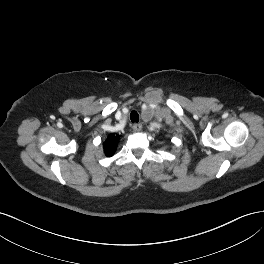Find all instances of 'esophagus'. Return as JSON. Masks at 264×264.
<instances>
[{
    "label": "esophagus",
    "instance_id": "obj_1",
    "mask_svg": "<svg viewBox=\"0 0 264 264\" xmlns=\"http://www.w3.org/2000/svg\"><path fill=\"white\" fill-rule=\"evenodd\" d=\"M132 128L134 131L139 132L142 129V124H134Z\"/></svg>",
    "mask_w": 264,
    "mask_h": 264
}]
</instances>
